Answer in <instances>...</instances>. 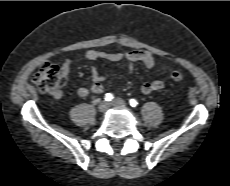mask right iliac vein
<instances>
[{
  "label": "right iliac vein",
  "instance_id": "1",
  "mask_svg": "<svg viewBox=\"0 0 230 186\" xmlns=\"http://www.w3.org/2000/svg\"><path fill=\"white\" fill-rule=\"evenodd\" d=\"M110 107V104L107 101H102L99 106H98V110L101 113L106 112Z\"/></svg>",
  "mask_w": 230,
  "mask_h": 186
}]
</instances>
